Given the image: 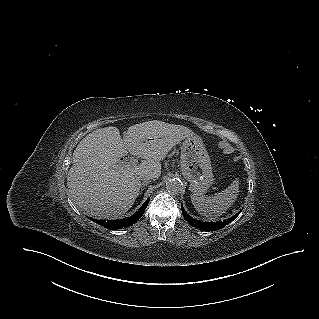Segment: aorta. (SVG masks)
Segmentation results:
<instances>
[{
    "label": "aorta",
    "instance_id": "1",
    "mask_svg": "<svg viewBox=\"0 0 319 319\" xmlns=\"http://www.w3.org/2000/svg\"><path fill=\"white\" fill-rule=\"evenodd\" d=\"M166 188L172 194H179L184 190L181 180L175 178L166 182Z\"/></svg>",
    "mask_w": 319,
    "mask_h": 319
}]
</instances>
